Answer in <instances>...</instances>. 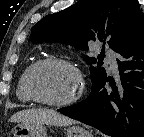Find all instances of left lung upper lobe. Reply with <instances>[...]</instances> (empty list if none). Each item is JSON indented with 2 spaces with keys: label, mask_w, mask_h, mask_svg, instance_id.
<instances>
[{
  "label": "left lung upper lobe",
  "mask_w": 144,
  "mask_h": 137,
  "mask_svg": "<svg viewBox=\"0 0 144 137\" xmlns=\"http://www.w3.org/2000/svg\"><path fill=\"white\" fill-rule=\"evenodd\" d=\"M143 23L144 14L137 0H80L37 22L32 28L31 41L61 42L88 50V41L99 40L118 53ZM85 60L87 64L96 63L95 58L88 56ZM90 73L92 88L106 78L100 65L90 66Z\"/></svg>",
  "instance_id": "obj_1"
}]
</instances>
